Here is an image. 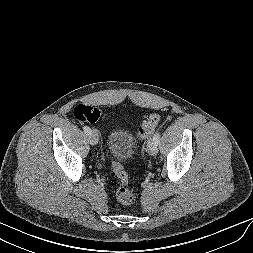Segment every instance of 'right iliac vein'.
I'll list each match as a JSON object with an SVG mask.
<instances>
[{"label":"right iliac vein","mask_w":253,"mask_h":253,"mask_svg":"<svg viewBox=\"0 0 253 253\" xmlns=\"http://www.w3.org/2000/svg\"><path fill=\"white\" fill-rule=\"evenodd\" d=\"M88 139L91 145H96L99 140L97 132L91 131V133L88 135Z\"/></svg>","instance_id":"1"}]
</instances>
